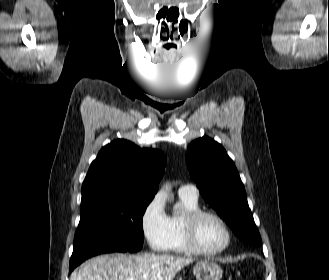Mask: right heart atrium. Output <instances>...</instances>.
Segmentation results:
<instances>
[{
  "label": "right heart atrium",
  "instance_id": "right-heart-atrium-1",
  "mask_svg": "<svg viewBox=\"0 0 329 280\" xmlns=\"http://www.w3.org/2000/svg\"><path fill=\"white\" fill-rule=\"evenodd\" d=\"M140 226L151 249L165 250L169 237V223L161 194H156L145 205L140 216Z\"/></svg>",
  "mask_w": 329,
  "mask_h": 280
}]
</instances>
